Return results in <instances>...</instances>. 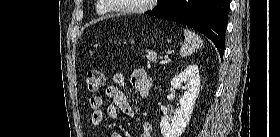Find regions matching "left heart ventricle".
Returning <instances> with one entry per match:
<instances>
[{
	"instance_id": "obj_1",
	"label": "left heart ventricle",
	"mask_w": 280,
	"mask_h": 137,
	"mask_svg": "<svg viewBox=\"0 0 280 137\" xmlns=\"http://www.w3.org/2000/svg\"><path fill=\"white\" fill-rule=\"evenodd\" d=\"M119 5L122 7L126 6H138L143 3V0H119Z\"/></svg>"
}]
</instances>
